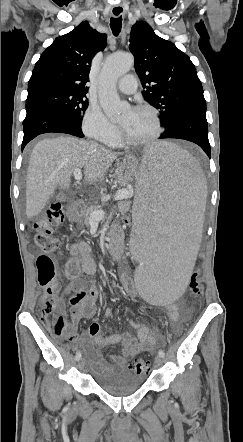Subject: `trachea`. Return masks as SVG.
Returning a JSON list of instances; mask_svg holds the SVG:
<instances>
[{"label": "trachea", "mask_w": 243, "mask_h": 442, "mask_svg": "<svg viewBox=\"0 0 243 442\" xmlns=\"http://www.w3.org/2000/svg\"><path fill=\"white\" fill-rule=\"evenodd\" d=\"M110 27L113 34L118 36L122 27V16H119L118 18H111Z\"/></svg>", "instance_id": "obj_1"}]
</instances>
